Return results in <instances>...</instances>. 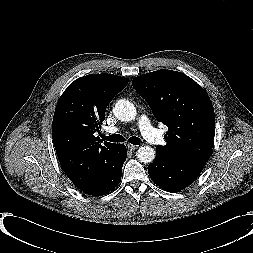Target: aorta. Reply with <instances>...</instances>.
<instances>
[{
	"label": "aorta",
	"instance_id": "aorta-1",
	"mask_svg": "<svg viewBox=\"0 0 253 253\" xmlns=\"http://www.w3.org/2000/svg\"><path fill=\"white\" fill-rule=\"evenodd\" d=\"M113 113L117 119L124 122L134 120L137 114L133 103L125 99H120L115 103ZM137 158L142 163H151L155 159V151L150 146H142L137 151Z\"/></svg>",
	"mask_w": 253,
	"mask_h": 253
}]
</instances>
